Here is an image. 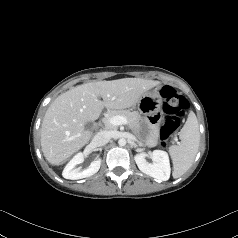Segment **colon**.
Masks as SVG:
<instances>
[{
  "label": "colon",
  "mask_w": 238,
  "mask_h": 238,
  "mask_svg": "<svg viewBox=\"0 0 238 238\" xmlns=\"http://www.w3.org/2000/svg\"><path fill=\"white\" fill-rule=\"evenodd\" d=\"M160 94L163 99V119L161 121L160 135L162 144L166 145L167 138L179 128L181 117L189 104L187 99L171 86H164Z\"/></svg>",
  "instance_id": "colon-1"
}]
</instances>
